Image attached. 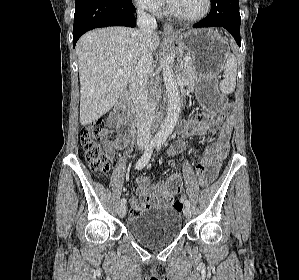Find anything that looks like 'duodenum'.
Here are the masks:
<instances>
[{
	"label": "duodenum",
	"instance_id": "obj_1",
	"mask_svg": "<svg viewBox=\"0 0 299 280\" xmlns=\"http://www.w3.org/2000/svg\"><path fill=\"white\" fill-rule=\"evenodd\" d=\"M116 115L118 119V129L121 133L131 134L135 130L132 118L131 97L125 92L120 97L116 105Z\"/></svg>",
	"mask_w": 299,
	"mask_h": 280
}]
</instances>
